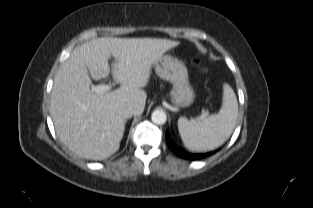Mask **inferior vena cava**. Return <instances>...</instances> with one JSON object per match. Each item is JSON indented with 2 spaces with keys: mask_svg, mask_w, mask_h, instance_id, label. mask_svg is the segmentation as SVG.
<instances>
[{
  "mask_svg": "<svg viewBox=\"0 0 313 208\" xmlns=\"http://www.w3.org/2000/svg\"><path fill=\"white\" fill-rule=\"evenodd\" d=\"M118 113L123 118H130L135 115V107L132 104H121L118 107Z\"/></svg>",
  "mask_w": 313,
  "mask_h": 208,
  "instance_id": "602c4592",
  "label": "inferior vena cava"
}]
</instances>
